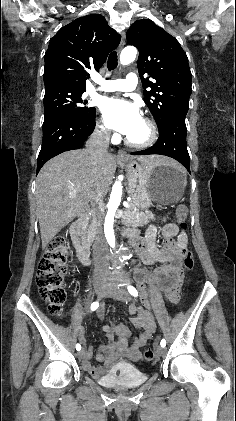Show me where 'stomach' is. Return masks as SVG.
I'll use <instances>...</instances> for the list:
<instances>
[{
  "label": "stomach",
  "instance_id": "stomach-1",
  "mask_svg": "<svg viewBox=\"0 0 236 421\" xmlns=\"http://www.w3.org/2000/svg\"><path fill=\"white\" fill-rule=\"evenodd\" d=\"M120 164L126 168L128 192L137 208H148L152 202L172 204L183 196L185 176L174 166H143L133 160L132 156H129L127 162Z\"/></svg>",
  "mask_w": 236,
  "mask_h": 421
}]
</instances>
